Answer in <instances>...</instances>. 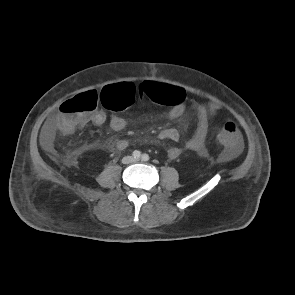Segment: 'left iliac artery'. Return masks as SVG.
<instances>
[{
    "label": "left iliac artery",
    "instance_id": "left-iliac-artery-1",
    "mask_svg": "<svg viewBox=\"0 0 295 295\" xmlns=\"http://www.w3.org/2000/svg\"><path fill=\"white\" fill-rule=\"evenodd\" d=\"M142 160L143 161H148L149 160V155L148 154H143L142 155Z\"/></svg>",
    "mask_w": 295,
    "mask_h": 295
}]
</instances>
